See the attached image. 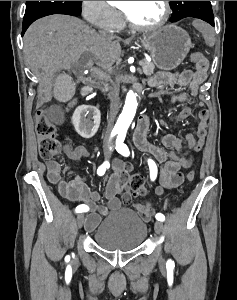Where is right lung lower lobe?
Here are the masks:
<instances>
[{"label": "right lung lower lobe", "instance_id": "98d812e1", "mask_svg": "<svg viewBox=\"0 0 237 300\" xmlns=\"http://www.w3.org/2000/svg\"><path fill=\"white\" fill-rule=\"evenodd\" d=\"M58 14H67V15H71V16H79L76 13H72V12H62V13H58ZM34 22V21H33ZM33 22H23V26H22V35H24L25 31L27 30V28L33 23Z\"/></svg>", "mask_w": 237, "mask_h": 300}]
</instances>
